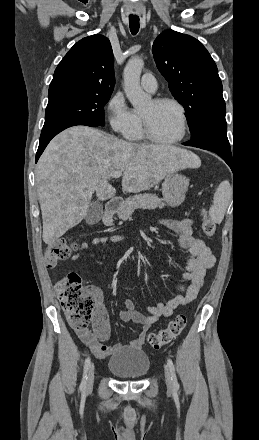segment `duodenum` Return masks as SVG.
Here are the masks:
<instances>
[{
  "label": "duodenum",
  "instance_id": "1",
  "mask_svg": "<svg viewBox=\"0 0 259 440\" xmlns=\"http://www.w3.org/2000/svg\"><path fill=\"white\" fill-rule=\"evenodd\" d=\"M119 201L117 199H112L110 201H108L105 205L104 208V214L105 216H110L112 214V212L115 210V208L117 207Z\"/></svg>",
  "mask_w": 259,
  "mask_h": 440
}]
</instances>
